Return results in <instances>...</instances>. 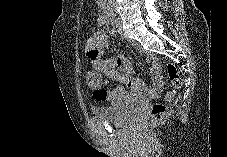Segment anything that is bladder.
Listing matches in <instances>:
<instances>
[{
    "mask_svg": "<svg viewBox=\"0 0 227 157\" xmlns=\"http://www.w3.org/2000/svg\"><path fill=\"white\" fill-rule=\"evenodd\" d=\"M91 112L93 115L115 125L127 126L142 115L143 106L133 103L116 107L94 106L92 107Z\"/></svg>",
    "mask_w": 227,
    "mask_h": 157,
    "instance_id": "31cf9c89",
    "label": "bladder"
}]
</instances>
